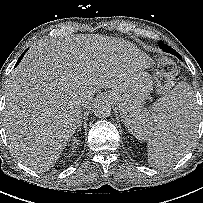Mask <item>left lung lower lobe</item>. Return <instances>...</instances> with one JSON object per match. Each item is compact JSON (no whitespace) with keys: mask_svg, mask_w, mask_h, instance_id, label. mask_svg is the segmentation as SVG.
<instances>
[{"mask_svg":"<svg viewBox=\"0 0 203 203\" xmlns=\"http://www.w3.org/2000/svg\"><path fill=\"white\" fill-rule=\"evenodd\" d=\"M161 47V46H160ZM162 48V47H161ZM164 51H169L167 47H165V45H163V48H162Z\"/></svg>","mask_w":203,"mask_h":203,"instance_id":"0a47b994","label":"left lung lower lobe"}]
</instances>
